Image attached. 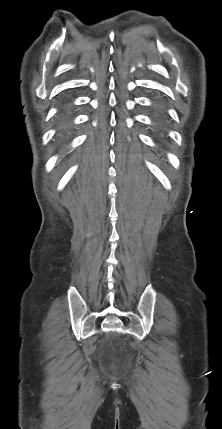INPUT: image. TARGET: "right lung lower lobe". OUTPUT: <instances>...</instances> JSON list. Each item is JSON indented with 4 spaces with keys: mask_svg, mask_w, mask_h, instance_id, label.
Returning a JSON list of instances; mask_svg holds the SVG:
<instances>
[{
    "mask_svg": "<svg viewBox=\"0 0 222 429\" xmlns=\"http://www.w3.org/2000/svg\"><path fill=\"white\" fill-rule=\"evenodd\" d=\"M70 118V110L68 108H65L61 111L59 116V121L63 125H67Z\"/></svg>",
    "mask_w": 222,
    "mask_h": 429,
    "instance_id": "right-lung-lower-lobe-1",
    "label": "right lung lower lobe"
}]
</instances>
